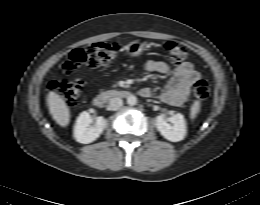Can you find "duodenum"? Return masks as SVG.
I'll use <instances>...</instances> for the list:
<instances>
[{
  "instance_id": "obj_1",
  "label": "duodenum",
  "mask_w": 260,
  "mask_h": 205,
  "mask_svg": "<svg viewBox=\"0 0 260 205\" xmlns=\"http://www.w3.org/2000/svg\"><path fill=\"white\" fill-rule=\"evenodd\" d=\"M130 92L123 89H111L104 91L93 98V103L96 106H103L108 100L113 98H127Z\"/></svg>"
}]
</instances>
